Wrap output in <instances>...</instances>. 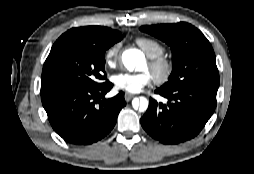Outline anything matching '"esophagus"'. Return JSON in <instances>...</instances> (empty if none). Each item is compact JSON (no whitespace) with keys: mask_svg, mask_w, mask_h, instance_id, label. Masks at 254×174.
Masks as SVG:
<instances>
[{"mask_svg":"<svg viewBox=\"0 0 254 174\" xmlns=\"http://www.w3.org/2000/svg\"><path fill=\"white\" fill-rule=\"evenodd\" d=\"M135 95L133 94H130V93H126L125 94V100L128 102L130 101Z\"/></svg>","mask_w":254,"mask_h":174,"instance_id":"1","label":"esophagus"}]
</instances>
